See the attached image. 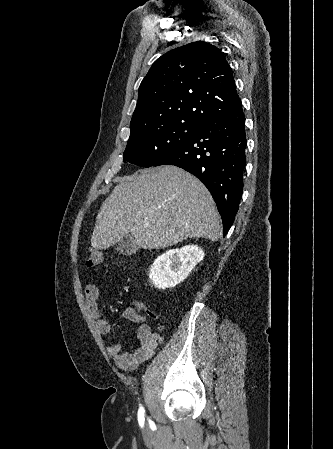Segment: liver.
I'll return each mask as SVG.
<instances>
[{
    "label": "liver",
    "mask_w": 333,
    "mask_h": 449,
    "mask_svg": "<svg viewBox=\"0 0 333 449\" xmlns=\"http://www.w3.org/2000/svg\"><path fill=\"white\" fill-rule=\"evenodd\" d=\"M220 235L217 208L204 184L166 165L119 179L97 215L91 245L106 249L131 236L138 248L159 249L187 238L215 242Z\"/></svg>",
    "instance_id": "6515ba94"
}]
</instances>
